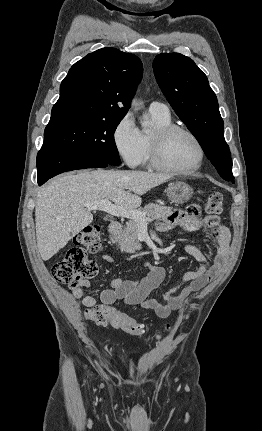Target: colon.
<instances>
[{
  "label": "colon",
  "instance_id": "5ec220e1",
  "mask_svg": "<svg viewBox=\"0 0 262 431\" xmlns=\"http://www.w3.org/2000/svg\"><path fill=\"white\" fill-rule=\"evenodd\" d=\"M224 209L223 196L220 192L210 193L205 202V212L210 216H217ZM197 212L195 205H190L188 213L194 215ZM103 250V245L99 239V228L97 225H89L86 230L74 238V245L69 247L62 259L52 268L55 278L69 289L75 290L92 279L97 271L98 266L89 260L85 251L99 253ZM91 319L98 323H108L114 329L123 330L132 335H144L143 326L135 319L125 313L112 311L108 316L97 312ZM172 331V325L167 326V332ZM158 339L161 337L158 336Z\"/></svg>",
  "mask_w": 262,
  "mask_h": 431
}]
</instances>
